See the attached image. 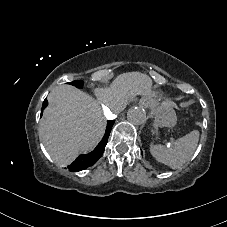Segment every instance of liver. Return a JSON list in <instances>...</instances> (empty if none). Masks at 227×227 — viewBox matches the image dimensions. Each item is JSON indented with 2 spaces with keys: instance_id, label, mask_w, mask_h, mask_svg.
I'll list each match as a JSON object with an SVG mask.
<instances>
[{
  "instance_id": "liver-1",
  "label": "liver",
  "mask_w": 227,
  "mask_h": 227,
  "mask_svg": "<svg viewBox=\"0 0 227 227\" xmlns=\"http://www.w3.org/2000/svg\"><path fill=\"white\" fill-rule=\"evenodd\" d=\"M151 78L139 72L117 76L110 88L95 90L98 100L71 85H59L48 95L49 106L40 121L39 134L58 164L71 163L79 153L92 150L106 127L100 104L116 108L113 100L149 94Z\"/></svg>"
}]
</instances>
